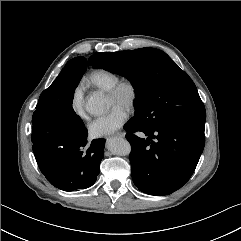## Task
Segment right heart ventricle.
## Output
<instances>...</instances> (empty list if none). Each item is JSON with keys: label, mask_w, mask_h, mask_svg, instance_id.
Listing matches in <instances>:
<instances>
[{"label": "right heart ventricle", "mask_w": 241, "mask_h": 241, "mask_svg": "<svg viewBox=\"0 0 241 241\" xmlns=\"http://www.w3.org/2000/svg\"><path fill=\"white\" fill-rule=\"evenodd\" d=\"M86 79L93 87L108 92L120 80V76L113 71L100 68L91 71Z\"/></svg>", "instance_id": "1"}]
</instances>
